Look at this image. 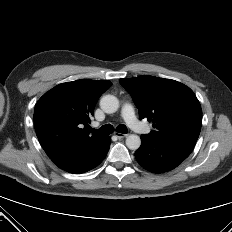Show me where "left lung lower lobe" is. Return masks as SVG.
Returning <instances> with one entry per match:
<instances>
[{
    "label": "left lung lower lobe",
    "mask_w": 232,
    "mask_h": 232,
    "mask_svg": "<svg viewBox=\"0 0 232 232\" xmlns=\"http://www.w3.org/2000/svg\"><path fill=\"white\" fill-rule=\"evenodd\" d=\"M141 141L135 158L142 167L154 173L176 168L190 155L196 144V140L191 139H155L148 135H141Z\"/></svg>",
    "instance_id": "0a47b994"
}]
</instances>
